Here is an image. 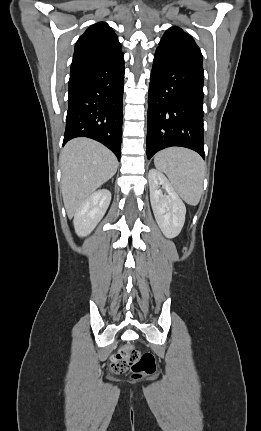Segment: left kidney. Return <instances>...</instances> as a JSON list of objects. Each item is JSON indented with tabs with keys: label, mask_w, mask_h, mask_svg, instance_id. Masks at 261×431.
<instances>
[{
	"label": "left kidney",
	"mask_w": 261,
	"mask_h": 431,
	"mask_svg": "<svg viewBox=\"0 0 261 431\" xmlns=\"http://www.w3.org/2000/svg\"><path fill=\"white\" fill-rule=\"evenodd\" d=\"M148 178L150 201L157 224L167 238H174L181 232L185 222V204L163 173L151 169ZM160 186L167 194H163Z\"/></svg>",
	"instance_id": "left-kidney-1"
}]
</instances>
